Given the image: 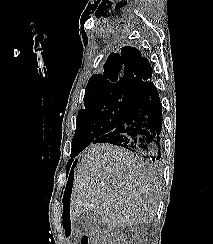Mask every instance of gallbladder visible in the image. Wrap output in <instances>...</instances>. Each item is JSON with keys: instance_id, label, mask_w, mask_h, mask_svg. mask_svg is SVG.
<instances>
[{"instance_id": "1", "label": "gallbladder", "mask_w": 213, "mask_h": 244, "mask_svg": "<svg viewBox=\"0 0 213 244\" xmlns=\"http://www.w3.org/2000/svg\"><path fill=\"white\" fill-rule=\"evenodd\" d=\"M103 227L100 215L93 211L83 213L72 224V230L78 236L90 235Z\"/></svg>"}]
</instances>
